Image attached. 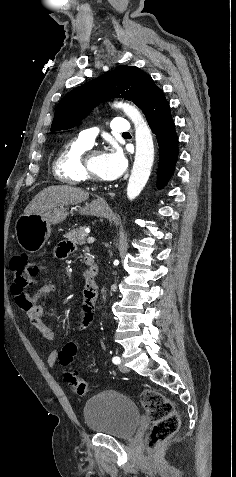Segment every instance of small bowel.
Instances as JSON below:
<instances>
[{
  "label": "small bowel",
  "mask_w": 236,
  "mask_h": 477,
  "mask_svg": "<svg viewBox=\"0 0 236 477\" xmlns=\"http://www.w3.org/2000/svg\"><path fill=\"white\" fill-rule=\"evenodd\" d=\"M74 251V245L68 241L61 242L56 248V256L60 259H64ZM89 255L85 256V261ZM86 281L88 278V272L85 275ZM56 288V283L53 279L45 278L41 282L40 290L34 295L29 294L22 295L18 302L19 307L25 311L30 323L41 333L42 337L48 341H53L55 335L53 330L44 322L43 315L45 307L40 303V299L51 294ZM97 297V290L90 285L87 281L83 302L81 306L80 318L77 323L79 330H85L92 323L94 317V306ZM58 359V353L52 351L47 357V362L50 366H54Z\"/></svg>",
  "instance_id": "small-bowel-1"
}]
</instances>
